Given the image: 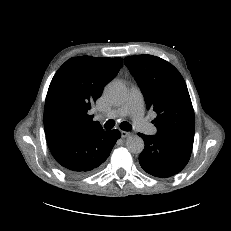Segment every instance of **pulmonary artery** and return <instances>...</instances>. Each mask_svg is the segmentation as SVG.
Listing matches in <instances>:
<instances>
[{"label": "pulmonary artery", "mask_w": 231, "mask_h": 231, "mask_svg": "<svg viewBox=\"0 0 231 231\" xmlns=\"http://www.w3.org/2000/svg\"><path fill=\"white\" fill-rule=\"evenodd\" d=\"M129 116L136 127L145 134L155 135L157 128L144 118V101L140 88L131 86L129 95L125 103L118 109L111 110L100 118L114 119Z\"/></svg>", "instance_id": "obj_1"}]
</instances>
